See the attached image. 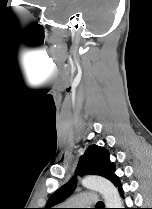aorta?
I'll list each match as a JSON object with an SVG mask.
<instances>
[{
  "instance_id": "aorta-1",
  "label": "aorta",
  "mask_w": 152,
  "mask_h": 209,
  "mask_svg": "<svg viewBox=\"0 0 152 209\" xmlns=\"http://www.w3.org/2000/svg\"><path fill=\"white\" fill-rule=\"evenodd\" d=\"M81 183L87 189L100 192L108 208H121L119 193L110 181L98 176H87L82 179Z\"/></svg>"
}]
</instances>
